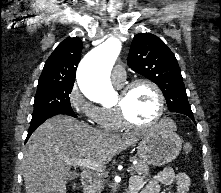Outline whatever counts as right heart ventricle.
<instances>
[{
	"mask_svg": "<svg viewBox=\"0 0 221 193\" xmlns=\"http://www.w3.org/2000/svg\"><path fill=\"white\" fill-rule=\"evenodd\" d=\"M101 120L98 123L108 130H119L123 127L114 107H101Z\"/></svg>",
	"mask_w": 221,
	"mask_h": 193,
	"instance_id": "1",
	"label": "right heart ventricle"
}]
</instances>
